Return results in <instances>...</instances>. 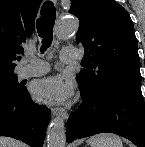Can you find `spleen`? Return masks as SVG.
I'll list each match as a JSON object with an SVG mask.
<instances>
[{
	"mask_svg": "<svg viewBox=\"0 0 145 147\" xmlns=\"http://www.w3.org/2000/svg\"><path fill=\"white\" fill-rule=\"evenodd\" d=\"M91 147H123L121 139L110 133L98 134L88 140Z\"/></svg>",
	"mask_w": 145,
	"mask_h": 147,
	"instance_id": "spleen-1",
	"label": "spleen"
}]
</instances>
